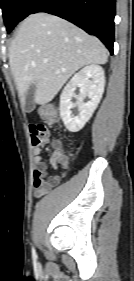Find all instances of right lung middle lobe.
Wrapping results in <instances>:
<instances>
[{"label": "right lung middle lobe", "mask_w": 134, "mask_h": 281, "mask_svg": "<svg viewBox=\"0 0 134 281\" xmlns=\"http://www.w3.org/2000/svg\"><path fill=\"white\" fill-rule=\"evenodd\" d=\"M34 0H1L3 19L7 32H11L14 26L25 18V13Z\"/></svg>", "instance_id": "1"}]
</instances>
